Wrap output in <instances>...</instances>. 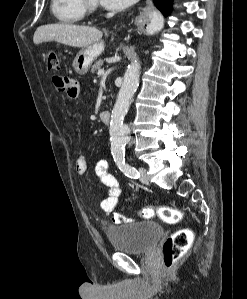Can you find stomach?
Returning a JSON list of instances; mask_svg holds the SVG:
<instances>
[{
	"instance_id": "0dacf381",
	"label": "stomach",
	"mask_w": 247,
	"mask_h": 299,
	"mask_svg": "<svg viewBox=\"0 0 247 299\" xmlns=\"http://www.w3.org/2000/svg\"><path fill=\"white\" fill-rule=\"evenodd\" d=\"M104 43L97 42L82 48L73 60V68L79 75L87 73L92 63L103 52Z\"/></svg>"
}]
</instances>
